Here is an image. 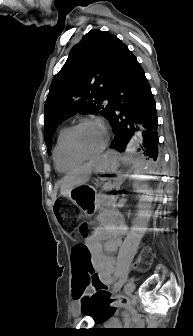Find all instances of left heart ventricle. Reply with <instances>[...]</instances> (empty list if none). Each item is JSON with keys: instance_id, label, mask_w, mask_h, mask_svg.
<instances>
[{"instance_id": "b2bd125f", "label": "left heart ventricle", "mask_w": 193, "mask_h": 336, "mask_svg": "<svg viewBox=\"0 0 193 336\" xmlns=\"http://www.w3.org/2000/svg\"><path fill=\"white\" fill-rule=\"evenodd\" d=\"M105 133L103 128L96 123L83 125L76 134L78 146L87 152L97 150L103 143Z\"/></svg>"}]
</instances>
